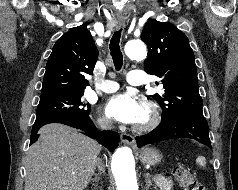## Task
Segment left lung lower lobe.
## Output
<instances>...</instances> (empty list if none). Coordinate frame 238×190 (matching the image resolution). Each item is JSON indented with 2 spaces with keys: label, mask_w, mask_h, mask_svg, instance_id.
<instances>
[{
  "label": "left lung lower lobe",
  "mask_w": 238,
  "mask_h": 190,
  "mask_svg": "<svg viewBox=\"0 0 238 190\" xmlns=\"http://www.w3.org/2000/svg\"><path fill=\"white\" fill-rule=\"evenodd\" d=\"M192 138L198 142L211 146L208 124L203 116L202 109H186L173 113L150 133L136 137L140 148L147 144L161 142L173 138Z\"/></svg>",
  "instance_id": "0a47b994"
}]
</instances>
